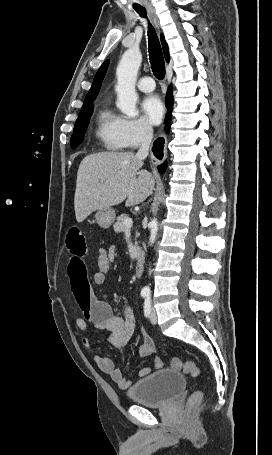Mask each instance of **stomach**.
<instances>
[{
  "label": "stomach",
  "mask_w": 272,
  "mask_h": 455,
  "mask_svg": "<svg viewBox=\"0 0 272 455\" xmlns=\"http://www.w3.org/2000/svg\"><path fill=\"white\" fill-rule=\"evenodd\" d=\"M95 218L99 226L107 229L115 220V211L112 208L98 210L95 214Z\"/></svg>",
  "instance_id": "0dacf381"
}]
</instances>
